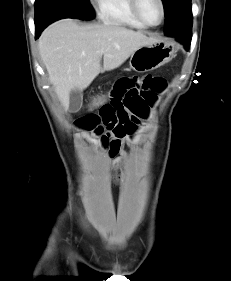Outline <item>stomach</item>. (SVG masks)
<instances>
[{"label": "stomach", "mask_w": 231, "mask_h": 281, "mask_svg": "<svg viewBox=\"0 0 231 281\" xmlns=\"http://www.w3.org/2000/svg\"><path fill=\"white\" fill-rule=\"evenodd\" d=\"M175 47L172 42L160 40L140 47L130 57V67L139 73L155 70L173 59Z\"/></svg>", "instance_id": "obj_1"}]
</instances>
